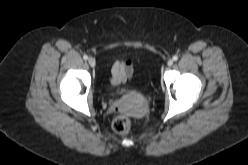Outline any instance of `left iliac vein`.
I'll use <instances>...</instances> for the list:
<instances>
[{
  "mask_svg": "<svg viewBox=\"0 0 248 165\" xmlns=\"http://www.w3.org/2000/svg\"><path fill=\"white\" fill-rule=\"evenodd\" d=\"M167 65L170 67V66H172L173 65V60L172 59H169L168 61H167Z\"/></svg>",
  "mask_w": 248,
  "mask_h": 165,
  "instance_id": "obj_1",
  "label": "left iliac vein"
}]
</instances>
